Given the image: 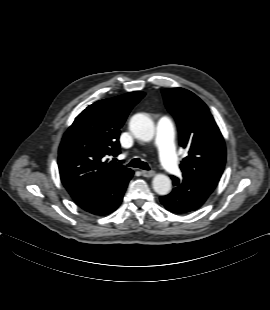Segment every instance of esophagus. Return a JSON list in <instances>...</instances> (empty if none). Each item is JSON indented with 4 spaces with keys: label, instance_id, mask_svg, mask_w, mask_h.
Masks as SVG:
<instances>
[{
    "label": "esophagus",
    "instance_id": "1",
    "mask_svg": "<svg viewBox=\"0 0 270 310\" xmlns=\"http://www.w3.org/2000/svg\"><path fill=\"white\" fill-rule=\"evenodd\" d=\"M142 176L144 177H152L155 175L154 171H146V170H142L141 171Z\"/></svg>",
    "mask_w": 270,
    "mask_h": 310
}]
</instances>
